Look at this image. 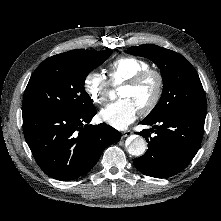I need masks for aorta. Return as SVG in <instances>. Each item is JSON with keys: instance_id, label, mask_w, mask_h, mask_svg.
<instances>
[{"instance_id": "obj_1", "label": "aorta", "mask_w": 221, "mask_h": 221, "mask_svg": "<svg viewBox=\"0 0 221 221\" xmlns=\"http://www.w3.org/2000/svg\"><path fill=\"white\" fill-rule=\"evenodd\" d=\"M146 149V140L141 136H136L128 146L127 151L130 155L139 157L146 152Z\"/></svg>"}]
</instances>
